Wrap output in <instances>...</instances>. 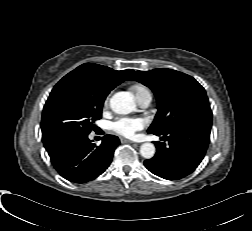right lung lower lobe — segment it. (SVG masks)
Listing matches in <instances>:
<instances>
[{
  "mask_svg": "<svg viewBox=\"0 0 252 231\" xmlns=\"http://www.w3.org/2000/svg\"><path fill=\"white\" fill-rule=\"evenodd\" d=\"M118 137L106 135L99 146L88 135L65 139L47 150L54 168L65 179L85 183L102 174L110 165Z\"/></svg>",
  "mask_w": 252,
  "mask_h": 231,
  "instance_id": "1",
  "label": "right lung lower lobe"
}]
</instances>
